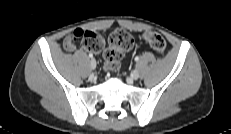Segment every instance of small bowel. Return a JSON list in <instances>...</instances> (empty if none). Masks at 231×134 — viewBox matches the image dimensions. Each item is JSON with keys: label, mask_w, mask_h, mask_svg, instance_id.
Masks as SVG:
<instances>
[{"label": "small bowel", "mask_w": 231, "mask_h": 134, "mask_svg": "<svg viewBox=\"0 0 231 134\" xmlns=\"http://www.w3.org/2000/svg\"><path fill=\"white\" fill-rule=\"evenodd\" d=\"M75 43L76 41L73 39V35L70 34L69 36H67L64 40V48L66 51L68 52H72L75 50Z\"/></svg>", "instance_id": "obj_1"}]
</instances>
